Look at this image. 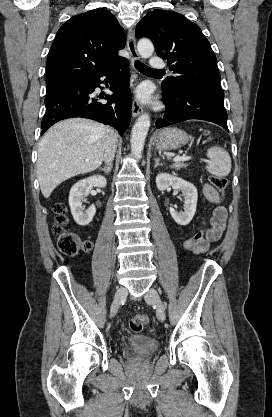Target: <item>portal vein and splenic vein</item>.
I'll use <instances>...</instances> for the list:
<instances>
[{
    "instance_id": "obj_1",
    "label": "portal vein and splenic vein",
    "mask_w": 272,
    "mask_h": 417,
    "mask_svg": "<svg viewBox=\"0 0 272 417\" xmlns=\"http://www.w3.org/2000/svg\"><path fill=\"white\" fill-rule=\"evenodd\" d=\"M191 159V156L182 155V156H176L174 157V161H188Z\"/></svg>"
}]
</instances>
